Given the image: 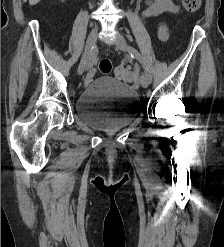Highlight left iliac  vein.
<instances>
[{"instance_id": "4c4485c4", "label": "left iliac vein", "mask_w": 224, "mask_h": 247, "mask_svg": "<svg viewBox=\"0 0 224 247\" xmlns=\"http://www.w3.org/2000/svg\"><path fill=\"white\" fill-rule=\"evenodd\" d=\"M114 43H115V46L122 51H128L129 50L127 42L121 34L116 35ZM140 84L144 88H147L149 85V81L144 74H142L140 76Z\"/></svg>"}]
</instances>
